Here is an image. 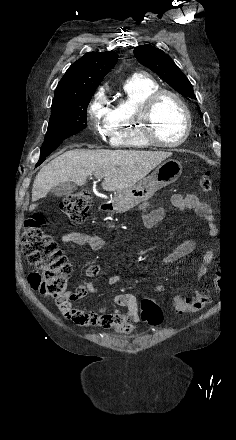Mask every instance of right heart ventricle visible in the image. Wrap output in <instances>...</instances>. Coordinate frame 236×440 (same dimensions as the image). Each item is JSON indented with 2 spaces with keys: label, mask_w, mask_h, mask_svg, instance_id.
Returning a JSON list of instances; mask_svg holds the SVG:
<instances>
[{
  "label": "right heart ventricle",
  "mask_w": 236,
  "mask_h": 440,
  "mask_svg": "<svg viewBox=\"0 0 236 440\" xmlns=\"http://www.w3.org/2000/svg\"><path fill=\"white\" fill-rule=\"evenodd\" d=\"M159 86L143 74H134L123 85L125 97L111 107L108 119L109 141L113 147L145 149L151 145L142 134L138 115L144 100Z\"/></svg>",
  "instance_id": "right-heart-ventricle-1"
}]
</instances>
